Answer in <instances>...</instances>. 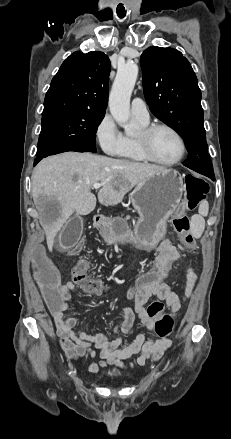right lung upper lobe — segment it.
<instances>
[{"mask_svg": "<svg viewBox=\"0 0 231 439\" xmlns=\"http://www.w3.org/2000/svg\"><path fill=\"white\" fill-rule=\"evenodd\" d=\"M109 58L102 52H74L52 79L42 116L70 111L105 113L108 102Z\"/></svg>", "mask_w": 231, "mask_h": 439, "instance_id": "obj_1", "label": "right lung upper lobe"}]
</instances>
